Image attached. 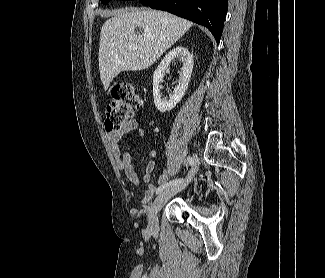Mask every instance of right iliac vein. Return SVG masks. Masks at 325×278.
I'll return each instance as SVG.
<instances>
[{"label":"right iliac vein","mask_w":325,"mask_h":278,"mask_svg":"<svg viewBox=\"0 0 325 278\" xmlns=\"http://www.w3.org/2000/svg\"><path fill=\"white\" fill-rule=\"evenodd\" d=\"M197 170H198V166L195 163L184 181H182L180 184L165 189L154 200L148 215V230L151 233H156L158 231V218H157L158 212L161 210V208L165 205V203L169 200L171 196L180 192L188 185V183L196 174Z\"/></svg>","instance_id":"1"}]
</instances>
